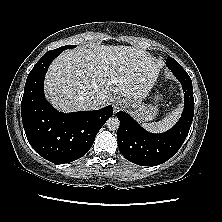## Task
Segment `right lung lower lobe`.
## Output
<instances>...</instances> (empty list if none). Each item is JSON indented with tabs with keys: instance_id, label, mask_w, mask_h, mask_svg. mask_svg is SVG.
Returning a JSON list of instances; mask_svg holds the SVG:
<instances>
[{
	"instance_id": "1",
	"label": "right lung lower lobe",
	"mask_w": 222,
	"mask_h": 222,
	"mask_svg": "<svg viewBox=\"0 0 222 222\" xmlns=\"http://www.w3.org/2000/svg\"><path fill=\"white\" fill-rule=\"evenodd\" d=\"M59 52H47L30 71L24 88L21 113L27 139L44 159L57 164L81 158L112 116V105L94 111L62 113L45 99L44 78Z\"/></svg>"
}]
</instances>
